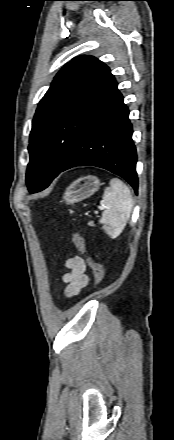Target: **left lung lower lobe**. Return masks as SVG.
I'll return each instance as SVG.
<instances>
[{
	"instance_id": "left-lung-lower-lobe-1",
	"label": "left lung lower lobe",
	"mask_w": 174,
	"mask_h": 440,
	"mask_svg": "<svg viewBox=\"0 0 174 440\" xmlns=\"http://www.w3.org/2000/svg\"><path fill=\"white\" fill-rule=\"evenodd\" d=\"M128 116V107L114 81L87 118L60 173L76 166H96L123 177L137 192V154Z\"/></svg>"
}]
</instances>
